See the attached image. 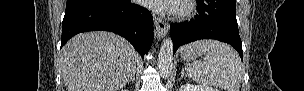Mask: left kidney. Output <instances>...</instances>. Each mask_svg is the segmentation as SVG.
<instances>
[{"label":"left kidney","instance_id":"5707ae66","mask_svg":"<svg viewBox=\"0 0 304 91\" xmlns=\"http://www.w3.org/2000/svg\"><path fill=\"white\" fill-rule=\"evenodd\" d=\"M179 91H218L208 85H191V84H184L180 86Z\"/></svg>","mask_w":304,"mask_h":91}]
</instances>
